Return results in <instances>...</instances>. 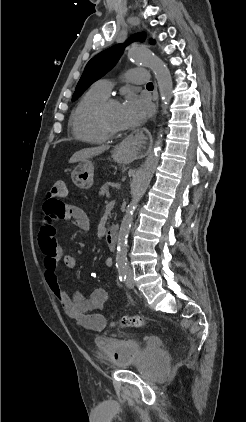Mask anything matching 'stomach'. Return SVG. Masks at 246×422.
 <instances>
[{
	"mask_svg": "<svg viewBox=\"0 0 246 422\" xmlns=\"http://www.w3.org/2000/svg\"><path fill=\"white\" fill-rule=\"evenodd\" d=\"M112 157L118 162H128L131 159L129 152L123 146H117ZM73 183L80 189H89L94 182V165L90 160L81 162L72 172Z\"/></svg>",
	"mask_w": 246,
	"mask_h": 422,
	"instance_id": "stomach-1",
	"label": "stomach"
}]
</instances>
